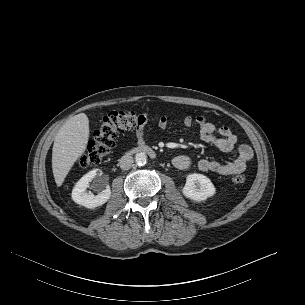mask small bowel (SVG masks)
I'll list each match as a JSON object with an SVG mask.
<instances>
[{"mask_svg": "<svg viewBox=\"0 0 305 305\" xmlns=\"http://www.w3.org/2000/svg\"><path fill=\"white\" fill-rule=\"evenodd\" d=\"M185 127L196 126L199 130V137L204 143L213 145L223 152L235 150L237 157L231 162H218L201 159L196 163L197 168L202 172H211L219 175H234L245 171L247 162L252 158V149L245 144L237 145L238 139L227 126L216 127V125L202 116H184L180 120ZM157 126L165 130L168 126V119L164 115L157 117ZM135 135L139 143L145 140V122L135 128ZM172 164L178 169H188L193 165L192 160L185 155H179L172 159Z\"/></svg>", "mask_w": 305, "mask_h": 305, "instance_id": "c3829d8e", "label": "small bowel"}]
</instances>
